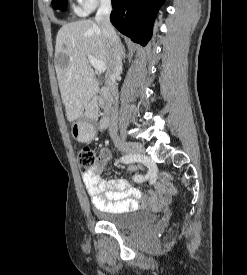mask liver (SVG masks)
I'll return each instance as SVG.
<instances>
[{
  "instance_id": "obj_1",
  "label": "liver",
  "mask_w": 247,
  "mask_h": 275,
  "mask_svg": "<svg viewBox=\"0 0 247 275\" xmlns=\"http://www.w3.org/2000/svg\"><path fill=\"white\" fill-rule=\"evenodd\" d=\"M91 55L109 68L110 54L100 26L92 20L63 25L57 33L55 68L66 117L73 122L98 92V82L88 61Z\"/></svg>"
}]
</instances>
